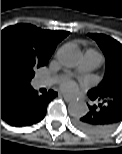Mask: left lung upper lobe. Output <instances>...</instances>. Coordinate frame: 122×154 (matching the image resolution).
<instances>
[{
	"label": "left lung upper lobe",
	"mask_w": 122,
	"mask_h": 154,
	"mask_svg": "<svg viewBox=\"0 0 122 154\" xmlns=\"http://www.w3.org/2000/svg\"><path fill=\"white\" fill-rule=\"evenodd\" d=\"M88 36L96 40L106 58L103 80L88 93L111 97L114 91L122 90V45L104 34L89 33Z\"/></svg>",
	"instance_id": "left-lung-upper-lobe-1"
}]
</instances>
